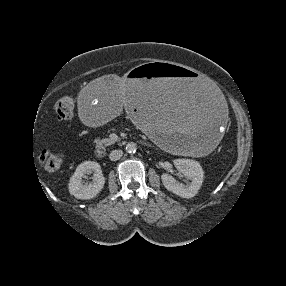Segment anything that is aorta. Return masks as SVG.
Returning a JSON list of instances; mask_svg holds the SVG:
<instances>
[{"label":"aorta","mask_w":286,"mask_h":286,"mask_svg":"<svg viewBox=\"0 0 286 286\" xmlns=\"http://www.w3.org/2000/svg\"><path fill=\"white\" fill-rule=\"evenodd\" d=\"M137 146L134 142H129L126 144L125 150L127 153H135Z\"/></svg>","instance_id":"obj_1"}]
</instances>
